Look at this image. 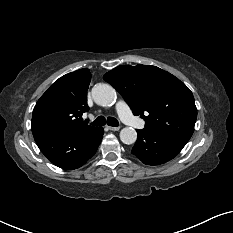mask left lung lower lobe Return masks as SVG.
I'll return each instance as SVG.
<instances>
[{
  "instance_id": "left-lung-lower-lobe-1",
  "label": "left lung lower lobe",
  "mask_w": 233,
  "mask_h": 233,
  "mask_svg": "<svg viewBox=\"0 0 233 233\" xmlns=\"http://www.w3.org/2000/svg\"><path fill=\"white\" fill-rule=\"evenodd\" d=\"M137 141L131 151L144 164L159 165L173 159L186 145L187 139L169 134L137 130Z\"/></svg>"
}]
</instances>
